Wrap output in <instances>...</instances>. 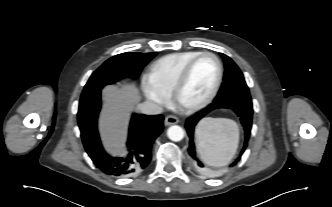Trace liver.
Returning a JSON list of instances; mask_svg holds the SVG:
<instances>
[{"label":"liver","mask_w":332,"mask_h":207,"mask_svg":"<svg viewBox=\"0 0 332 207\" xmlns=\"http://www.w3.org/2000/svg\"><path fill=\"white\" fill-rule=\"evenodd\" d=\"M104 110L100 117V133L106 149L112 155H124L129 110L140 100L134 84L107 86L103 89Z\"/></svg>","instance_id":"1"}]
</instances>
